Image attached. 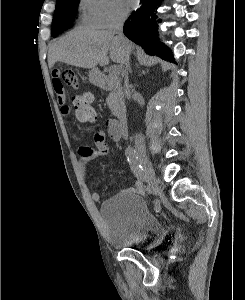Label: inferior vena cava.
<instances>
[{
    "mask_svg": "<svg viewBox=\"0 0 245 300\" xmlns=\"http://www.w3.org/2000/svg\"><path fill=\"white\" fill-rule=\"evenodd\" d=\"M127 15L125 13L118 14L115 19L113 20L111 31L116 34V37L125 45L126 44V38L123 35V25L126 20ZM124 74H125V81H126V88L128 90V70L130 67L129 63V56H126L125 62H124ZM135 148L137 151H143L144 150V144H143V137L141 134L136 135L135 137Z\"/></svg>",
    "mask_w": 245,
    "mask_h": 300,
    "instance_id": "obj_1",
    "label": "inferior vena cava"
}]
</instances>
